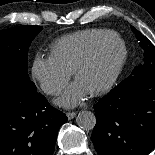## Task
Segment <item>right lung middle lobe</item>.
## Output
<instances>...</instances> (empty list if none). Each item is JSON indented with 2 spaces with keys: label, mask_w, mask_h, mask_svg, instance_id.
<instances>
[{
  "label": "right lung middle lobe",
  "mask_w": 155,
  "mask_h": 155,
  "mask_svg": "<svg viewBox=\"0 0 155 155\" xmlns=\"http://www.w3.org/2000/svg\"><path fill=\"white\" fill-rule=\"evenodd\" d=\"M41 26H20L0 31V97L16 102L33 98L36 86L28 76L27 54Z\"/></svg>",
  "instance_id": "1"
}]
</instances>
